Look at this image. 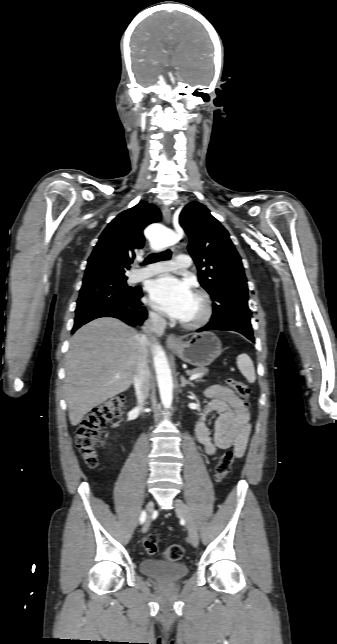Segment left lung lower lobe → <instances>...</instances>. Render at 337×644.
<instances>
[{
    "mask_svg": "<svg viewBox=\"0 0 337 644\" xmlns=\"http://www.w3.org/2000/svg\"><path fill=\"white\" fill-rule=\"evenodd\" d=\"M208 330L235 331V332H238V333L244 335L245 337H247L252 342L255 341L252 331H246V330H244V329H242V328H240L238 326H235V325H232V324H229V323H225V322H213V321H210L205 327H202V328L198 329L197 332L208 331Z\"/></svg>",
    "mask_w": 337,
    "mask_h": 644,
    "instance_id": "left-lung-lower-lobe-1",
    "label": "left lung lower lobe"
}]
</instances>
